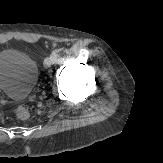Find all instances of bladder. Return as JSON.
I'll return each mask as SVG.
<instances>
[{"label": "bladder", "instance_id": "1", "mask_svg": "<svg viewBox=\"0 0 163 163\" xmlns=\"http://www.w3.org/2000/svg\"><path fill=\"white\" fill-rule=\"evenodd\" d=\"M38 80L36 61L23 51H0V92L9 98L21 100L34 89Z\"/></svg>", "mask_w": 163, "mask_h": 163}]
</instances>
